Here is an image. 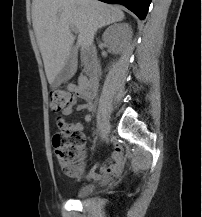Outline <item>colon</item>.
Masks as SVG:
<instances>
[{
    "mask_svg": "<svg viewBox=\"0 0 202 217\" xmlns=\"http://www.w3.org/2000/svg\"><path fill=\"white\" fill-rule=\"evenodd\" d=\"M73 103L74 96L68 91L54 89L50 92L49 105L54 114L64 112ZM85 143L80 130L73 129L67 122L58 121V129L53 135V147L61 171L66 176L76 177L82 172Z\"/></svg>",
    "mask_w": 202,
    "mask_h": 217,
    "instance_id": "obj_1",
    "label": "colon"
}]
</instances>
